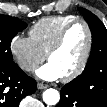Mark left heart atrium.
<instances>
[{
  "label": "left heart atrium",
  "mask_w": 107,
  "mask_h": 107,
  "mask_svg": "<svg viewBox=\"0 0 107 107\" xmlns=\"http://www.w3.org/2000/svg\"><path fill=\"white\" fill-rule=\"evenodd\" d=\"M36 75L46 81H54L62 77L58 68L51 62L41 66L36 71Z\"/></svg>",
  "instance_id": "1"
}]
</instances>
